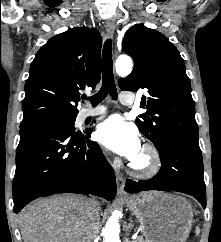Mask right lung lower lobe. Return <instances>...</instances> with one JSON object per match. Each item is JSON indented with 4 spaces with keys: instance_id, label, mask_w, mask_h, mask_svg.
<instances>
[{
    "instance_id": "98d812e1",
    "label": "right lung lower lobe",
    "mask_w": 221,
    "mask_h": 242,
    "mask_svg": "<svg viewBox=\"0 0 221 242\" xmlns=\"http://www.w3.org/2000/svg\"><path fill=\"white\" fill-rule=\"evenodd\" d=\"M91 131L38 122L20 128L13 179L14 211L55 193L92 194L112 200L116 179Z\"/></svg>"
}]
</instances>
